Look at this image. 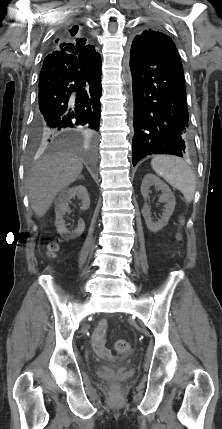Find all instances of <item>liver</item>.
Masks as SVG:
<instances>
[{"instance_id": "obj_1", "label": "liver", "mask_w": 222, "mask_h": 429, "mask_svg": "<svg viewBox=\"0 0 222 429\" xmlns=\"http://www.w3.org/2000/svg\"><path fill=\"white\" fill-rule=\"evenodd\" d=\"M82 169V160L69 152L44 156L33 166L27 187L37 217L45 215L56 195L74 182Z\"/></svg>"}]
</instances>
